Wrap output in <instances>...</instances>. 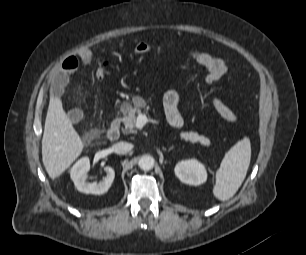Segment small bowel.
<instances>
[{"label":"small bowel","mask_w":306,"mask_h":255,"mask_svg":"<svg viewBox=\"0 0 306 255\" xmlns=\"http://www.w3.org/2000/svg\"><path fill=\"white\" fill-rule=\"evenodd\" d=\"M80 58L83 62L88 63L92 59L90 50L84 49L80 52ZM79 66V61L75 56L67 57L61 66L51 75V92L54 97H61L65 86L68 83L69 75L74 73ZM183 105L190 113L198 114L199 108L192 102L184 100L176 90H169L163 97V108L168 123L175 127L181 128L184 120L179 113L178 107ZM81 117L79 110L69 112V118L73 122H77Z\"/></svg>","instance_id":"c3829d8e"}]
</instances>
